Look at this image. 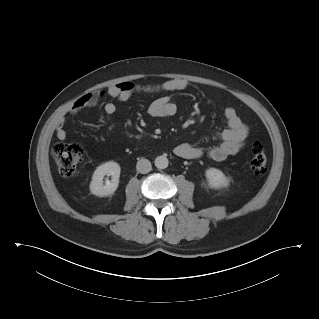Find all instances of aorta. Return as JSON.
Masks as SVG:
<instances>
[{
    "label": "aorta",
    "mask_w": 319,
    "mask_h": 319,
    "mask_svg": "<svg viewBox=\"0 0 319 319\" xmlns=\"http://www.w3.org/2000/svg\"><path fill=\"white\" fill-rule=\"evenodd\" d=\"M155 166L158 168V169H165L168 167V159L165 157V156H158L155 161Z\"/></svg>",
    "instance_id": "1"
}]
</instances>
